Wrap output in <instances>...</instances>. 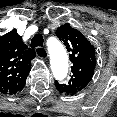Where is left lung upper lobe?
Returning a JSON list of instances; mask_svg holds the SVG:
<instances>
[{
  "label": "left lung upper lobe",
  "instance_id": "5c2ea615",
  "mask_svg": "<svg viewBox=\"0 0 117 117\" xmlns=\"http://www.w3.org/2000/svg\"><path fill=\"white\" fill-rule=\"evenodd\" d=\"M56 35L66 45L73 63L72 76L67 84L55 81L56 88L65 94L82 91L91 81L96 66L95 48L77 29L69 24L57 28Z\"/></svg>",
  "mask_w": 117,
  "mask_h": 117
}]
</instances>
